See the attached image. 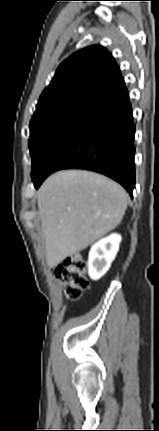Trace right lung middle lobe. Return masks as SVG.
I'll return each mask as SVG.
<instances>
[{"instance_id": "dd1d6c3e", "label": "right lung middle lobe", "mask_w": 159, "mask_h": 431, "mask_svg": "<svg viewBox=\"0 0 159 431\" xmlns=\"http://www.w3.org/2000/svg\"><path fill=\"white\" fill-rule=\"evenodd\" d=\"M86 118L70 114H53L30 122L29 148L32 180L38 177L52 148Z\"/></svg>"}]
</instances>
